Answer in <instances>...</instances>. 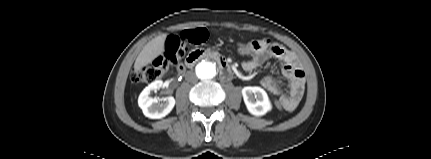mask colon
<instances>
[{"label":"colon","instance_id":"obj_1","mask_svg":"<svg viewBox=\"0 0 431 159\" xmlns=\"http://www.w3.org/2000/svg\"><path fill=\"white\" fill-rule=\"evenodd\" d=\"M207 39L205 29H195L184 31L180 35H170L164 44V52L157 57L150 65L136 70L132 74V81L136 84L152 83L163 76L168 68L176 64L186 54L189 44L197 45ZM250 50V47L239 45L235 48L236 54L244 55ZM273 107L276 111L281 112L283 106L280 100H273Z\"/></svg>","mask_w":431,"mask_h":159}]
</instances>
